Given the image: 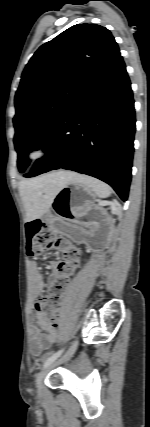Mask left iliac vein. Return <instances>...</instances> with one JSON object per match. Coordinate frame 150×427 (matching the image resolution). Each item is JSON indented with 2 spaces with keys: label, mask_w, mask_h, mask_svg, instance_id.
I'll use <instances>...</instances> for the list:
<instances>
[{
  "label": "left iliac vein",
  "mask_w": 150,
  "mask_h": 427,
  "mask_svg": "<svg viewBox=\"0 0 150 427\" xmlns=\"http://www.w3.org/2000/svg\"><path fill=\"white\" fill-rule=\"evenodd\" d=\"M77 345H78V341H74L73 344L71 345V347L67 350V352L57 361L52 362L51 364H49L46 368H44L38 375L37 377V389L38 392L41 393L42 391V383H43V379L46 376V374L56 365L67 361L68 359H70L73 354L75 353L76 349H77Z\"/></svg>",
  "instance_id": "1"
}]
</instances>
